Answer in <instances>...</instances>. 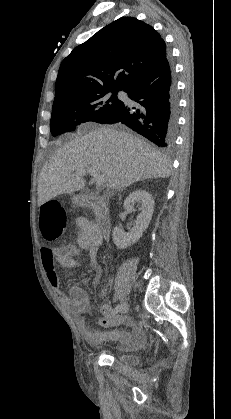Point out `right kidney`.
Returning a JSON list of instances; mask_svg holds the SVG:
<instances>
[{
  "label": "right kidney",
  "mask_w": 231,
  "mask_h": 419,
  "mask_svg": "<svg viewBox=\"0 0 231 419\" xmlns=\"http://www.w3.org/2000/svg\"><path fill=\"white\" fill-rule=\"evenodd\" d=\"M135 203H138L141 206L139 208L140 214L137 216L135 226L130 232L126 233L119 227L113 229V242L120 249H125L136 243L142 237L143 232L148 228L152 219L154 200L149 192L138 189L130 193L124 201V209L127 212H134Z\"/></svg>",
  "instance_id": "ca27d5eb"
}]
</instances>
